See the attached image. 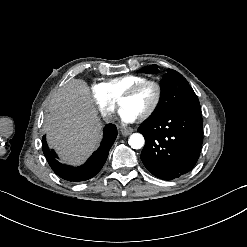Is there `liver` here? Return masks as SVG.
Wrapping results in <instances>:
<instances>
[{
	"label": "liver",
	"instance_id": "6515ba94",
	"mask_svg": "<svg viewBox=\"0 0 247 247\" xmlns=\"http://www.w3.org/2000/svg\"><path fill=\"white\" fill-rule=\"evenodd\" d=\"M103 123L88 83L70 79L55 93L43 124L50 149L61 164L78 167L100 147Z\"/></svg>",
	"mask_w": 247,
	"mask_h": 247
}]
</instances>
